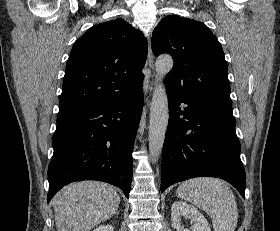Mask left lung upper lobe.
Here are the masks:
<instances>
[{"instance_id":"obj_1","label":"left lung upper lobe","mask_w":280,"mask_h":231,"mask_svg":"<svg viewBox=\"0 0 280 231\" xmlns=\"http://www.w3.org/2000/svg\"><path fill=\"white\" fill-rule=\"evenodd\" d=\"M151 45L155 56L173 57V68L164 80L167 89L232 106L224 53L205 24L165 17L154 30Z\"/></svg>"}]
</instances>
